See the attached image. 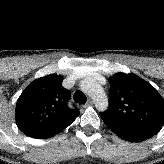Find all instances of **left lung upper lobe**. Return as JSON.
Masks as SVG:
<instances>
[{
	"label": "left lung upper lobe",
	"mask_w": 164,
	"mask_h": 164,
	"mask_svg": "<svg viewBox=\"0 0 164 164\" xmlns=\"http://www.w3.org/2000/svg\"><path fill=\"white\" fill-rule=\"evenodd\" d=\"M109 109L102 113L115 122L152 134L164 124V99L135 74L116 73L109 78Z\"/></svg>",
	"instance_id": "obj_1"
}]
</instances>
